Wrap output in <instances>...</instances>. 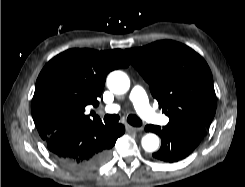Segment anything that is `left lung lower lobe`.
Returning <instances> with one entry per match:
<instances>
[{
	"label": "left lung lower lobe",
	"mask_w": 245,
	"mask_h": 187,
	"mask_svg": "<svg viewBox=\"0 0 245 187\" xmlns=\"http://www.w3.org/2000/svg\"><path fill=\"white\" fill-rule=\"evenodd\" d=\"M147 132H154L161 137L162 145L153 157L164 162H177L191 154L201 142L205 127L173 126L165 127L146 125Z\"/></svg>",
	"instance_id": "obj_1"
}]
</instances>
